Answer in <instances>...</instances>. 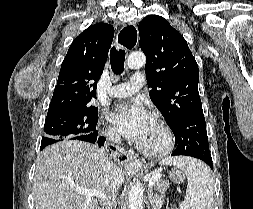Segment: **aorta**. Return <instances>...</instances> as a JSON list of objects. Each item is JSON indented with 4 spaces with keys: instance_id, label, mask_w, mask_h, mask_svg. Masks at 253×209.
<instances>
[{
    "instance_id": "obj_1",
    "label": "aorta",
    "mask_w": 253,
    "mask_h": 209,
    "mask_svg": "<svg viewBox=\"0 0 253 209\" xmlns=\"http://www.w3.org/2000/svg\"><path fill=\"white\" fill-rule=\"evenodd\" d=\"M146 57L143 53H131L127 59L129 69H139L145 65ZM129 209H143L144 189L140 182L131 186L129 192Z\"/></svg>"
}]
</instances>
